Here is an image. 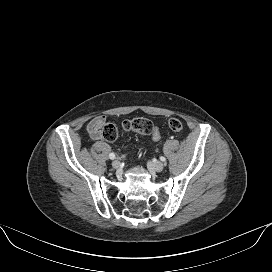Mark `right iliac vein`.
<instances>
[{"label": "right iliac vein", "mask_w": 272, "mask_h": 272, "mask_svg": "<svg viewBox=\"0 0 272 272\" xmlns=\"http://www.w3.org/2000/svg\"><path fill=\"white\" fill-rule=\"evenodd\" d=\"M112 166H113V168L118 169V168H120L121 163H120L119 160H114V161L112 162Z\"/></svg>", "instance_id": "right-iliac-vein-1"}]
</instances>
